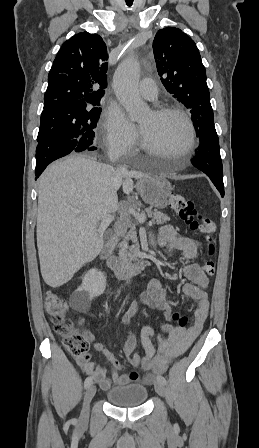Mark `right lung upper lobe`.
Segmentation results:
<instances>
[{"label": "right lung upper lobe", "mask_w": 259, "mask_h": 448, "mask_svg": "<svg viewBox=\"0 0 259 448\" xmlns=\"http://www.w3.org/2000/svg\"><path fill=\"white\" fill-rule=\"evenodd\" d=\"M107 59L98 34L82 32L65 41L48 75L42 114L100 105L107 87Z\"/></svg>", "instance_id": "right-lung-upper-lobe-1"}]
</instances>
